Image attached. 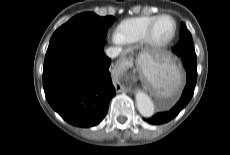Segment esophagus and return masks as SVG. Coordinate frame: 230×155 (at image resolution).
Here are the masks:
<instances>
[{"mask_svg": "<svg viewBox=\"0 0 230 155\" xmlns=\"http://www.w3.org/2000/svg\"><path fill=\"white\" fill-rule=\"evenodd\" d=\"M119 67L123 70L128 66V63H119ZM115 89L117 92L125 91L127 88L123 86L117 79L114 81Z\"/></svg>", "mask_w": 230, "mask_h": 155, "instance_id": "obj_1", "label": "esophagus"}]
</instances>
